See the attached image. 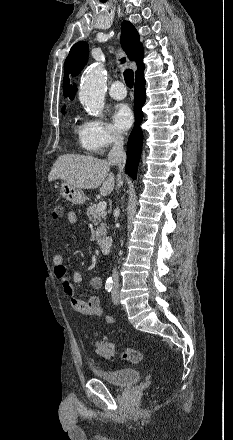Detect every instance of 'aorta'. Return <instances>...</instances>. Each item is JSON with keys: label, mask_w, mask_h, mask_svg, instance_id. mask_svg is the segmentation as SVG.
Instances as JSON below:
<instances>
[{"label": "aorta", "mask_w": 233, "mask_h": 440, "mask_svg": "<svg viewBox=\"0 0 233 440\" xmlns=\"http://www.w3.org/2000/svg\"><path fill=\"white\" fill-rule=\"evenodd\" d=\"M106 76L101 66H92L86 70L81 80L79 99L93 116L102 114L105 104Z\"/></svg>", "instance_id": "762f6f07"}]
</instances>
